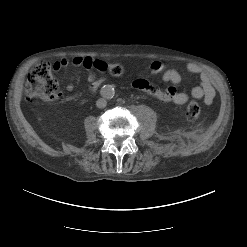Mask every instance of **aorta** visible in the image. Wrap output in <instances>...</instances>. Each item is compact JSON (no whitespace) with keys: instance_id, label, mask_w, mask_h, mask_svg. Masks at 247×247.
I'll list each match as a JSON object with an SVG mask.
<instances>
[{"instance_id":"aorta-1","label":"aorta","mask_w":247,"mask_h":247,"mask_svg":"<svg viewBox=\"0 0 247 247\" xmlns=\"http://www.w3.org/2000/svg\"><path fill=\"white\" fill-rule=\"evenodd\" d=\"M102 94L107 99H112L115 95V88L113 85H104L102 87Z\"/></svg>"}]
</instances>
